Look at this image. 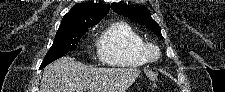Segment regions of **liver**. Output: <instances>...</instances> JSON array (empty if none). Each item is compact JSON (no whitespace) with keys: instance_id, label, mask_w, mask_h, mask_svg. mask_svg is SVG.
Segmentation results:
<instances>
[{"instance_id":"obj_1","label":"liver","mask_w":225,"mask_h":92,"mask_svg":"<svg viewBox=\"0 0 225 92\" xmlns=\"http://www.w3.org/2000/svg\"><path fill=\"white\" fill-rule=\"evenodd\" d=\"M139 74L136 68H92L63 57L44 69L40 92H126Z\"/></svg>"}]
</instances>
